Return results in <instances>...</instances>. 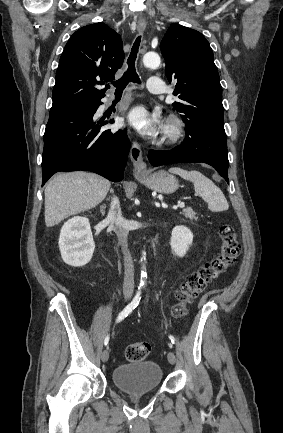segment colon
<instances>
[{"label":"colon","instance_id":"1","mask_svg":"<svg viewBox=\"0 0 283 433\" xmlns=\"http://www.w3.org/2000/svg\"><path fill=\"white\" fill-rule=\"evenodd\" d=\"M218 234L221 241L219 254L191 273L176 292V303L172 308V313L177 319L186 316L188 305L209 283L226 272L240 253V244L233 226L222 225ZM150 353L151 346L146 342L132 343L125 349V356L130 361L145 360Z\"/></svg>","mask_w":283,"mask_h":433}]
</instances>
